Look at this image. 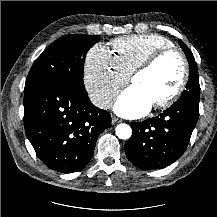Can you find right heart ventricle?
<instances>
[{"label": "right heart ventricle", "instance_id": "1", "mask_svg": "<svg viewBox=\"0 0 217 217\" xmlns=\"http://www.w3.org/2000/svg\"><path fill=\"white\" fill-rule=\"evenodd\" d=\"M111 45L117 66L125 74L130 75L154 53L172 47V42L158 34H143L117 38Z\"/></svg>", "mask_w": 217, "mask_h": 217}]
</instances>
